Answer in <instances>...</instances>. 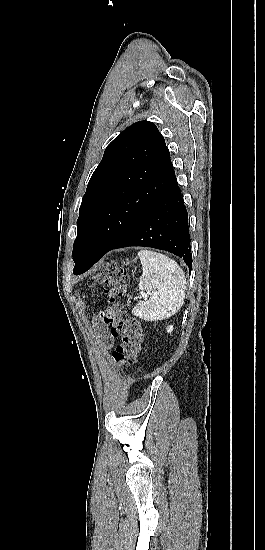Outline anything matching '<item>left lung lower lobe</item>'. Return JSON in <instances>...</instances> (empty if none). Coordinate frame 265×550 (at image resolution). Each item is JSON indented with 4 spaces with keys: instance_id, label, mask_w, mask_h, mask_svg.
Returning a JSON list of instances; mask_svg holds the SVG:
<instances>
[{
    "instance_id": "0a47b994",
    "label": "left lung lower lobe",
    "mask_w": 265,
    "mask_h": 550,
    "mask_svg": "<svg viewBox=\"0 0 265 550\" xmlns=\"http://www.w3.org/2000/svg\"><path fill=\"white\" fill-rule=\"evenodd\" d=\"M128 246H146L169 251L181 257L191 271L188 213L176 178L109 249L88 253L73 273L75 275L84 273L108 251Z\"/></svg>"
}]
</instances>
